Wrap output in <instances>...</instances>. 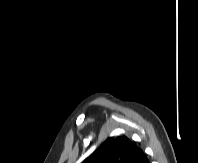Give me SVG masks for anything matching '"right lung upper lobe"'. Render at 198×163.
Listing matches in <instances>:
<instances>
[{
  "label": "right lung upper lobe",
  "mask_w": 198,
  "mask_h": 163,
  "mask_svg": "<svg viewBox=\"0 0 198 163\" xmlns=\"http://www.w3.org/2000/svg\"><path fill=\"white\" fill-rule=\"evenodd\" d=\"M82 163H149L143 151L126 136L109 137Z\"/></svg>",
  "instance_id": "cb5924a9"
}]
</instances>
